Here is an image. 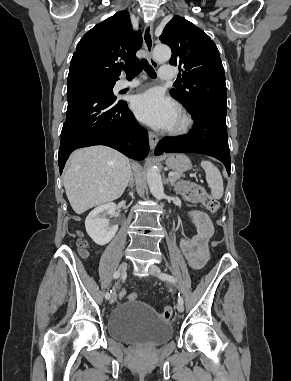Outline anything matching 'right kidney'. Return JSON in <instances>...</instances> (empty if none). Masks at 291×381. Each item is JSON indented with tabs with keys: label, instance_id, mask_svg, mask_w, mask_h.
<instances>
[{
	"label": "right kidney",
	"instance_id": "right-kidney-1",
	"mask_svg": "<svg viewBox=\"0 0 291 381\" xmlns=\"http://www.w3.org/2000/svg\"><path fill=\"white\" fill-rule=\"evenodd\" d=\"M116 205L112 202L96 207L85 220V227L88 235L98 245H106L118 231V225L109 226L106 214L115 215Z\"/></svg>",
	"mask_w": 291,
	"mask_h": 381
}]
</instances>
